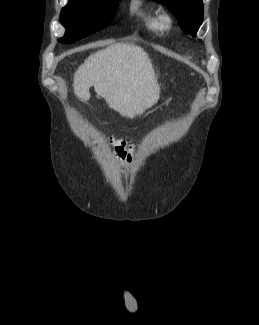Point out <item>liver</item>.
Listing matches in <instances>:
<instances>
[{"mask_svg":"<svg viewBox=\"0 0 259 325\" xmlns=\"http://www.w3.org/2000/svg\"><path fill=\"white\" fill-rule=\"evenodd\" d=\"M91 86L110 108L131 119L157 103L160 92L148 54L125 43L99 50L79 66L74 74L75 95L88 101Z\"/></svg>","mask_w":259,"mask_h":325,"instance_id":"1","label":"liver"}]
</instances>
